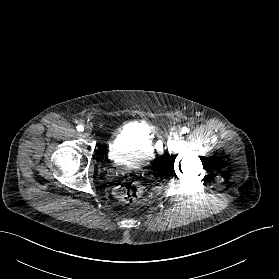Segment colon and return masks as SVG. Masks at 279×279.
<instances>
[{
	"label": "colon",
	"mask_w": 279,
	"mask_h": 279,
	"mask_svg": "<svg viewBox=\"0 0 279 279\" xmlns=\"http://www.w3.org/2000/svg\"><path fill=\"white\" fill-rule=\"evenodd\" d=\"M145 193V186L138 180H128L120 183L114 190L115 197L125 203L136 202Z\"/></svg>",
	"instance_id": "1"
}]
</instances>
